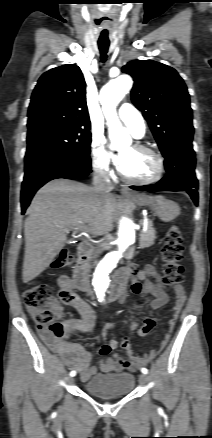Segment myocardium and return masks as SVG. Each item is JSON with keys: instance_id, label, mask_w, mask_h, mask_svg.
Here are the masks:
<instances>
[{"instance_id": "f54148a6", "label": "myocardium", "mask_w": 212, "mask_h": 438, "mask_svg": "<svg viewBox=\"0 0 212 438\" xmlns=\"http://www.w3.org/2000/svg\"><path fill=\"white\" fill-rule=\"evenodd\" d=\"M133 147L135 149L147 152L155 158L156 166H157L156 173L150 178L143 179V180H136V179L129 178L128 176H126L122 172V170H119V174H120L121 178L129 184L140 185V186L150 185V184H153V183L160 181L165 173V162H164V159L161 156V154L159 152H157L156 150H154L153 148L146 146L144 144H141V143H136Z\"/></svg>"}]
</instances>
